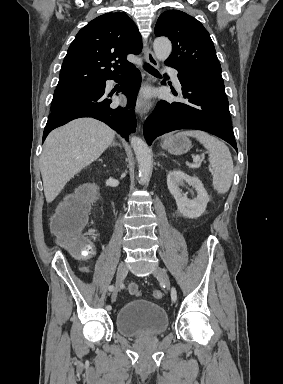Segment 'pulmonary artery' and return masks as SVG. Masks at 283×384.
<instances>
[{
  "instance_id": "1",
  "label": "pulmonary artery",
  "mask_w": 283,
  "mask_h": 384,
  "mask_svg": "<svg viewBox=\"0 0 283 384\" xmlns=\"http://www.w3.org/2000/svg\"><path fill=\"white\" fill-rule=\"evenodd\" d=\"M168 74L169 75H172V76H178V74L175 72V69L174 68H169L168 69ZM175 85L178 87V88H181V83H175ZM112 86V83L110 81L107 82V88H110Z\"/></svg>"
}]
</instances>
